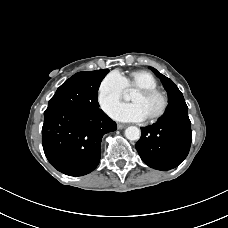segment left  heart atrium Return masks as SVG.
<instances>
[{"label": "left heart atrium", "mask_w": 228, "mask_h": 228, "mask_svg": "<svg viewBox=\"0 0 228 228\" xmlns=\"http://www.w3.org/2000/svg\"><path fill=\"white\" fill-rule=\"evenodd\" d=\"M109 116L122 122H141L146 116L141 107L135 103H119L112 106L108 112Z\"/></svg>", "instance_id": "39dd6f15"}]
</instances>
